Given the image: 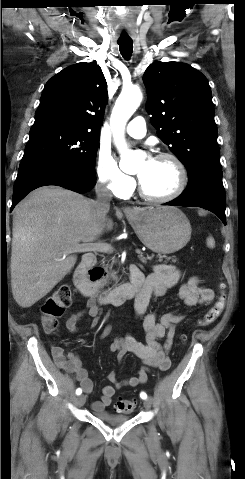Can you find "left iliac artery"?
Wrapping results in <instances>:
<instances>
[{
    "label": "left iliac artery",
    "mask_w": 245,
    "mask_h": 479,
    "mask_svg": "<svg viewBox=\"0 0 245 479\" xmlns=\"http://www.w3.org/2000/svg\"><path fill=\"white\" fill-rule=\"evenodd\" d=\"M140 397H141L142 399H146V398H147V394H146L145 392H141V393H140Z\"/></svg>",
    "instance_id": "1"
}]
</instances>
